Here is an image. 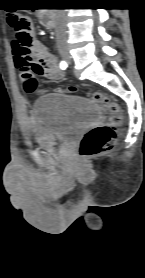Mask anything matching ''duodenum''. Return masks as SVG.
Here are the masks:
<instances>
[{
	"label": "duodenum",
	"mask_w": 145,
	"mask_h": 278,
	"mask_svg": "<svg viewBox=\"0 0 145 278\" xmlns=\"http://www.w3.org/2000/svg\"><path fill=\"white\" fill-rule=\"evenodd\" d=\"M40 22L45 25L48 28L53 27V22L50 18V15L48 13H44L43 15L40 16Z\"/></svg>",
	"instance_id": "duodenum-1"
}]
</instances>
